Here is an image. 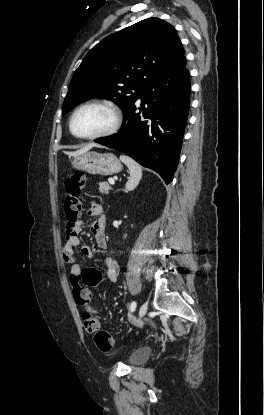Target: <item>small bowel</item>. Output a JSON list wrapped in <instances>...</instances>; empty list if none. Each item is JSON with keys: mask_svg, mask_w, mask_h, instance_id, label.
Listing matches in <instances>:
<instances>
[{"mask_svg": "<svg viewBox=\"0 0 264 415\" xmlns=\"http://www.w3.org/2000/svg\"><path fill=\"white\" fill-rule=\"evenodd\" d=\"M88 215L98 216V218L91 224V232L94 236L95 242L99 249H106L107 240L105 235V216L103 214L102 205L99 203H93L89 210ZM83 227V222L79 221L77 224V229L81 230ZM80 247L81 253L86 257H92V249L88 245H81L80 239L77 236H67V241L62 248V259L65 263L70 266V276L78 277L82 272V264L76 262L74 256V248ZM104 265L106 275L109 281L115 282L119 273V266L117 261L111 257L107 256L104 258Z\"/></svg>", "mask_w": 264, "mask_h": 415, "instance_id": "1", "label": "small bowel"}]
</instances>
